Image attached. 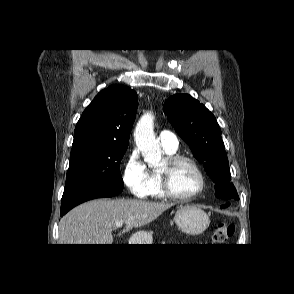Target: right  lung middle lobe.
<instances>
[{
	"mask_svg": "<svg viewBox=\"0 0 294 294\" xmlns=\"http://www.w3.org/2000/svg\"><path fill=\"white\" fill-rule=\"evenodd\" d=\"M126 150L116 145L72 146L62 198L87 189L124 188L119 164Z\"/></svg>",
	"mask_w": 294,
	"mask_h": 294,
	"instance_id": "right-lung-middle-lobe-1",
	"label": "right lung middle lobe"
}]
</instances>
